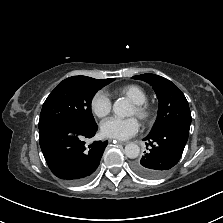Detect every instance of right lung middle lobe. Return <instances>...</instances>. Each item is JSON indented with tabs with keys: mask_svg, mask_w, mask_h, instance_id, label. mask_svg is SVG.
<instances>
[{
	"mask_svg": "<svg viewBox=\"0 0 223 223\" xmlns=\"http://www.w3.org/2000/svg\"><path fill=\"white\" fill-rule=\"evenodd\" d=\"M114 80H97L87 76L63 80L45 100L39 128L58 121H72L90 128L97 126L91 112V101L98 90Z\"/></svg>",
	"mask_w": 223,
	"mask_h": 223,
	"instance_id": "right-lung-middle-lobe-1",
	"label": "right lung middle lobe"
}]
</instances>
